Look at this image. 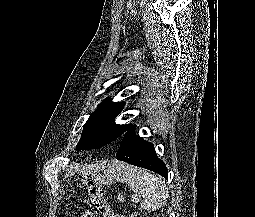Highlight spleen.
Returning <instances> with one entry per match:
<instances>
[{"mask_svg": "<svg viewBox=\"0 0 255 217\" xmlns=\"http://www.w3.org/2000/svg\"><path fill=\"white\" fill-rule=\"evenodd\" d=\"M109 173L115 180L125 181L131 191L142 195L140 206L143 209L155 211L166 204L169 191L161 177L122 162H114Z\"/></svg>", "mask_w": 255, "mask_h": 217, "instance_id": "3e777b00", "label": "spleen"}]
</instances>
